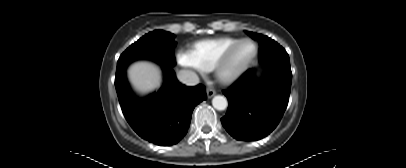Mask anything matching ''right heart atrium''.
<instances>
[{
  "label": "right heart atrium",
  "mask_w": 406,
  "mask_h": 168,
  "mask_svg": "<svg viewBox=\"0 0 406 168\" xmlns=\"http://www.w3.org/2000/svg\"><path fill=\"white\" fill-rule=\"evenodd\" d=\"M177 62L180 66L184 68H196L188 59L187 55L185 53H179L177 55Z\"/></svg>",
  "instance_id": "right-heart-atrium-1"
}]
</instances>
